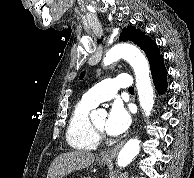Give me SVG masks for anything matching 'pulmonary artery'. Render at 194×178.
Instances as JSON below:
<instances>
[{
  "mask_svg": "<svg viewBox=\"0 0 194 178\" xmlns=\"http://www.w3.org/2000/svg\"><path fill=\"white\" fill-rule=\"evenodd\" d=\"M132 84L128 74H122L115 78H108L92 87L83 96V100L91 105H98L100 102L107 101L115 97L118 89L128 88Z\"/></svg>",
  "mask_w": 194,
  "mask_h": 178,
  "instance_id": "obj_1",
  "label": "pulmonary artery"
}]
</instances>
